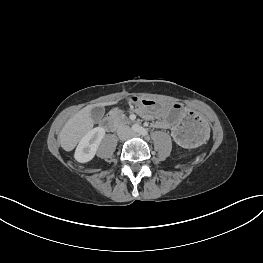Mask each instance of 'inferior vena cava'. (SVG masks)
Masks as SVG:
<instances>
[{
  "label": "inferior vena cava",
  "instance_id": "1",
  "mask_svg": "<svg viewBox=\"0 0 263 263\" xmlns=\"http://www.w3.org/2000/svg\"><path fill=\"white\" fill-rule=\"evenodd\" d=\"M117 134L121 139L129 138L133 135L131 128L127 125H122L118 128Z\"/></svg>",
  "mask_w": 263,
  "mask_h": 263
}]
</instances>
